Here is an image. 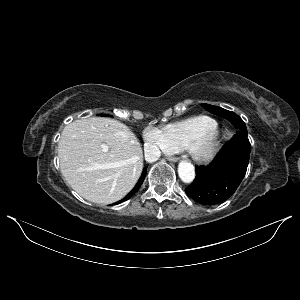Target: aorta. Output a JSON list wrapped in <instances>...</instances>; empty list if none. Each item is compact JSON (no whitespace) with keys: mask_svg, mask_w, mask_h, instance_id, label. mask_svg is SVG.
<instances>
[{"mask_svg":"<svg viewBox=\"0 0 300 300\" xmlns=\"http://www.w3.org/2000/svg\"><path fill=\"white\" fill-rule=\"evenodd\" d=\"M178 175L183 182L191 183L195 179V168L191 163L181 161L178 165Z\"/></svg>","mask_w":300,"mask_h":300,"instance_id":"aorta-1","label":"aorta"}]
</instances>
